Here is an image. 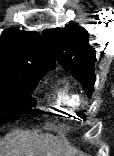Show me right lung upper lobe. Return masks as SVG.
<instances>
[{
    "instance_id": "obj_1",
    "label": "right lung upper lobe",
    "mask_w": 114,
    "mask_h": 156,
    "mask_svg": "<svg viewBox=\"0 0 114 156\" xmlns=\"http://www.w3.org/2000/svg\"><path fill=\"white\" fill-rule=\"evenodd\" d=\"M55 60L39 33L9 28L0 37V77L44 75L54 69Z\"/></svg>"
}]
</instances>
